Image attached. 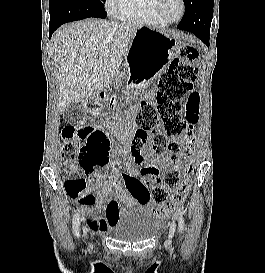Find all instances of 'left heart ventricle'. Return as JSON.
Wrapping results in <instances>:
<instances>
[{"instance_id":"left-heart-ventricle-1","label":"left heart ventricle","mask_w":265,"mask_h":273,"mask_svg":"<svg viewBox=\"0 0 265 273\" xmlns=\"http://www.w3.org/2000/svg\"><path fill=\"white\" fill-rule=\"evenodd\" d=\"M163 12L168 19H177L181 14L180 0H164Z\"/></svg>"}]
</instances>
